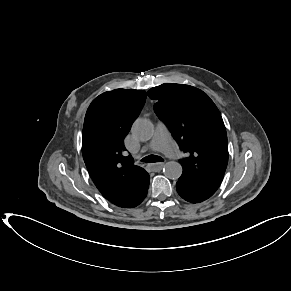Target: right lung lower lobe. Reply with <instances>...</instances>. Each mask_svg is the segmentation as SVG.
Returning <instances> with one entry per match:
<instances>
[{
  "instance_id": "right-lung-lower-lobe-1",
  "label": "right lung lower lobe",
  "mask_w": 291,
  "mask_h": 291,
  "mask_svg": "<svg viewBox=\"0 0 291 291\" xmlns=\"http://www.w3.org/2000/svg\"><path fill=\"white\" fill-rule=\"evenodd\" d=\"M148 187H149V184H148V186H147V187L142 191L141 196H140L138 199H136V200H134V201H132V202H130V203L115 202V203H113V204L116 205V206H118V207L134 208V207L138 206V205H139V204L144 200V198H145L146 195H147Z\"/></svg>"
}]
</instances>
